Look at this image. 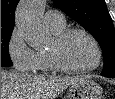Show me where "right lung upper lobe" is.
Wrapping results in <instances>:
<instances>
[{"mask_svg":"<svg viewBox=\"0 0 115 99\" xmlns=\"http://www.w3.org/2000/svg\"><path fill=\"white\" fill-rule=\"evenodd\" d=\"M19 0H1V29H13L14 14Z\"/></svg>","mask_w":115,"mask_h":99,"instance_id":"1","label":"right lung upper lobe"}]
</instances>
